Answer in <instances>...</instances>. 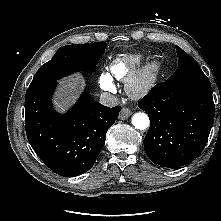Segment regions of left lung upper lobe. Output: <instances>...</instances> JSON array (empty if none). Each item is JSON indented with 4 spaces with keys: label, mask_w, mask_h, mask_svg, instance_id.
Wrapping results in <instances>:
<instances>
[{
    "label": "left lung upper lobe",
    "mask_w": 221,
    "mask_h": 221,
    "mask_svg": "<svg viewBox=\"0 0 221 221\" xmlns=\"http://www.w3.org/2000/svg\"><path fill=\"white\" fill-rule=\"evenodd\" d=\"M176 51L179 58L178 68L166 81L210 83L199 65L191 56L178 46H176Z\"/></svg>",
    "instance_id": "obj_1"
}]
</instances>
